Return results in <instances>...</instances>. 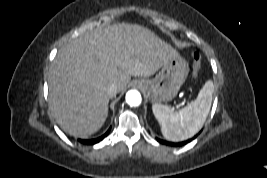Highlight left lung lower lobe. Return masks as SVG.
I'll return each mask as SVG.
<instances>
[{
  "label": "left lung lower lobe",
  "mask_w": 267,
  "mask_h": 178,
  "mask_svg": "<svg viewBox=\"0 0 267 178\" xmlns=\"http://www.w3.org/2000/svg\"><path fill=\"white\" fill-rule=\"evenodd\" d=\"M157 141L160 142V143H162V144H167V145H171V146H181V145H183V144H186V143L190 142L191 139H189V140H187V141H185V142H180V143L166 142V141H163V140L158 139V138H157Z\"/></svg>",
  "instance_id": "0a47b994"
}]
</instances>
